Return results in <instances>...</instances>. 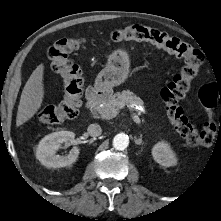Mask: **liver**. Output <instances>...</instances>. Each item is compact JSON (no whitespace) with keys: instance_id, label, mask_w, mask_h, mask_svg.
Instances as JSON below:
<instances>
[{"instance_id":"obj_1","label":"liver","mask_w":221,"mask_h":221,"mask_svg":"<svg viewBox=\"0 0 221 221\" xmlns=\"http://www.w3.org/2000/svg\"><path fill=\"white\" fill-rule=\"evenodd\" d=\"M43 74L44 65L40 64L24 86L17 111V127L31 119L41 107L44 97Z\"/></svg>"}]
</instances>
